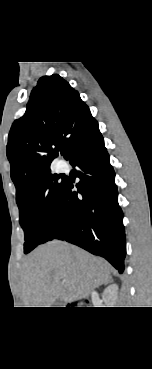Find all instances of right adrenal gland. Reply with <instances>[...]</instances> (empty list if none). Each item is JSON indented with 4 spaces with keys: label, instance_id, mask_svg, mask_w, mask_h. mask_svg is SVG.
<instances>
[{
    "label": "right adrenal gland",
    "instance_id": "1",
    "mask_svg": "<svg viewBox=\"0 0 152 369\" xmlns=\"http://www.w3.org/2000/svg\"><path fill=\"white\" fill-rule=\"evenodd\" d=\"M111 280H107L106 282H104L103 284H107L108 282H110Z\"/></svg>",
    "mask_w": 152,
    "mask_h": 369
}]
</instances>
